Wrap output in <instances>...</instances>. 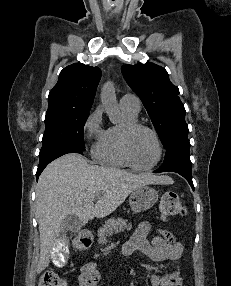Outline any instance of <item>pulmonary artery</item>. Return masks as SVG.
Returning a JSON list of instances; mask_svg holds the SVG:
<instances>
[{
	"instance_id": "obj_1",
	"label": "pulmonary artery",
	"mask_w": 231,
	"mask_h": 286,
	"mask_svg": "<svg viewBox=\"0 0 231 286\" xmlns=\"http://www.w3.org/2000/svg\"><path fill=\"white\" fill-rule=\"evenodd\" d=\"M120 107L138 114L141 109L140 99L134 94H125L120 99Z\"/></svg>"
}]
</instances>
